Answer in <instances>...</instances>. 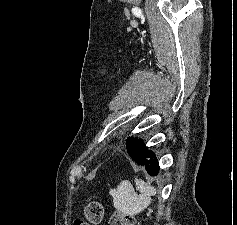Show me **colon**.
<instances>
[{
    "instance_id": "obj_1",
    "label": "colon",
    "mask_w": 237,
    "mask_h": 225,
    "mask_svg": "<svg viewBox=\"0 0 237 225\" xmlns=\"http://www.w3.org/2000/svg\"><path fill=\"white\" fill-rule=\"evenodd\" d=\"M103 206L98 201H91L85 207V219H76L73 225H98L103 219ZM136 221L132 215L119 212L114 213L108 225H135Z\"/></svg>"
}]
</instances>
